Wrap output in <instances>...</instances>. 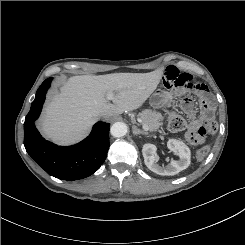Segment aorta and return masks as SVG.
<instances>
[{
    "mask_svg": "<svg viewBox=\"0 0 245 245\" xmlns=\"http://www.w3.org/2000/svg\"><path fill=\"white\" fill-rule=\"evenodd\" d=\"M110 133L117 138L123 137L127 133V126L125 123L115 122L110 128Z\"/></svg>",
    "mask_w": 245,
    "mask_h": 245,
    "instance_id": "obj_1",
    "label": "aorta"
}]
</instances>
